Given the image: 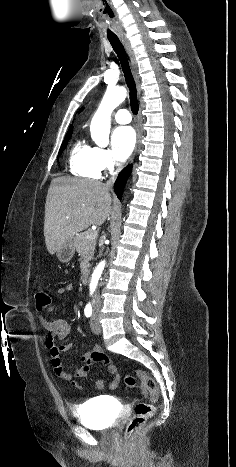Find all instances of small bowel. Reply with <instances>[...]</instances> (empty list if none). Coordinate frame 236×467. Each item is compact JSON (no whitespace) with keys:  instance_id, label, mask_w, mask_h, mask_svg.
<instances>
[{"instance_id":"small-bowel-1","label":"small bowel","mask_w":236,"mask_h":467,"mask_svg":"<svg viewBox=\"0 0 236 467\" xmlns=\"http://www.w3.org/2000/svg\"><path fill=\"white\" fill-rule=\"evenodd\" d=\"M72 290H73V285L66 284L65 286L60 287L57 290V294L62 296L67 293H70ZM53 309L54 307L50 306L47 309V311L50 312ZM40 321L47 330L45 345H46L47 350L49 351L51 364L54 368L55 374L60 379L65 380V381H72L73 386L78 390H86L88 388H90L91 390H95V391L102 390L104 388V382L100 379L94 380L89 386H87L86 384L82 382L74 380V378H82V377L87 376L94 363L102 362L107 367V369L110 371V373L113 375V380L110 383L109 388L111 390H115L118 387L120 376L117 372V368L114 362L108 356L103 361H97L92 358L93 353L101 352L99 347H94L82 354L81 356L82 365L79 368H77L74 373L68 371L62 365L60 354L61 352H68L71 349L72 344L66 343L58 347L56 346L55 341L65 340L72 332L73 326L70 323H68L66 320L61 319V318L48 320L44 314L40 316Z\"/></svg>"}]
</instances>
